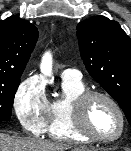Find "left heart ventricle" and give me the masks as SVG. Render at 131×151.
Wrapping results in <instances>:
<instances>
[{"label":"left heart ventricle","mask_w":131,"mask_h":151,"mask_svg":"<svg viewBox=\"0 0 131 151\" xmlns=\"http://www.w3.org/2000/svg\"><path fill=\"white\" fill-rule=\"evenodd\" d=\"M88 123L95 134L106 138L115 136L120 129L117 112L111 104L103 99H96L91 103Z\"/></svg>","instance_id":"obj_1"}]
</instances>
